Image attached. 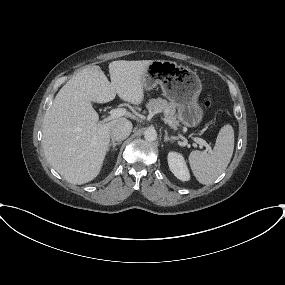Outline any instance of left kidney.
Here are the masks:
<instances>
[{
  "instance_id": "5707ae66",
  "label": "left kidney",
  "mask_w": 285,
  "mask_h": 285,
  "mask_svg": "<svg viewBox=\"0 0 285 285\" xmlns=\"http://www.w3.org/2000/svg\"><path fill=\"white\" fill-rule=\"evenodd\" d=\"M168 165L171 172L181 181L190 180V173L184 157L177 152L168 153Z\"/></svg>"
}]
</instances>
